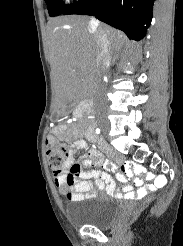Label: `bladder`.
I'll return each instance as SVG.
<instances>
[{
  "mask_svg": "<svg viewBox=\"0 0 183 246\" xmlns=\"http://www.w3.org/2000/svg\"><path fill=\"white\" fill-rule=\"evenodd\" d=\"M120 210L119 200L95 196L84 210L71 214V221L75 226L106 227L117 217Z\"/></svg>",
  "mask_w": 183,
  "mask_h": 246,
  "instance_id": "1",
  "label": "bladder"
}]
</instances>
